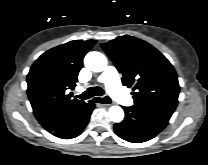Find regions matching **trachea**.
<instances>
[{
  "mask_svg": "<svg viewBox=\"0 0 208 165\" xmlns=\"http://www.w3.org/2000/svg\"><path fill=\"white\" fill-rule=\"evenodd\" d=\"M94 95L103 96L104 91L100 87H91L87 89L84 93L77 95V97L82 100H86V99L93 97ZM105 99L109 101L108 97H105Z\"/></svg>",
  "mask_w": 208,
  "mask_h": 165,
  "instance_id": "3493384b",
  "label": "trachea"
}]
</instances>
